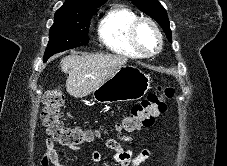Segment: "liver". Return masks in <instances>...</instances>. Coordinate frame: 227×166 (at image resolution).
I'll return each mask as SVG.
<instances>
[{
  "label": "liver",
  "instance_id": "obj_1",
  "mask_svg": "<svg viewBox=\"0 0 227 166\" xmlns=\"http://www.w3.org/2000/svg\"><path fill=\"white\" fill-rule=\"evenodd\" d=\"M127 57L110 54L69 55L60 62L68 73L66 90L74 98L86 97L127 63Z\"/></svg>",
  "mask_w": 227,
  "mask_h": 166
}]
</instances>
